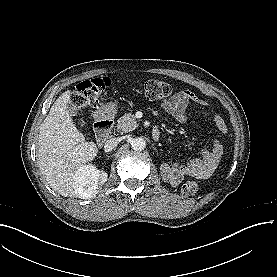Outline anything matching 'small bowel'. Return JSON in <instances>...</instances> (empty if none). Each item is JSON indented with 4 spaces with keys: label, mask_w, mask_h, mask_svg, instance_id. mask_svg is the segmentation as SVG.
Masks as SVG:
<instances>
[{
    "label": "small bowel",
    "mask_w": 277,
    "mask_h": 277,
    "mask_svg": "<svg viewBox=\"0 0 277 277\" xmlns=\"http://www.w3.org/2000/svg\"><path fill=\"white\" fill-rule=\"evenodd\" d=\"M195 104L201 107H208L206 101L199 98L196 94L189 90L179 91L174 94L170 99L164 100L162 106L169 114L179 121H185L187 116V108L189 104ZM205 116H209L213 119L217 129L225 133L227 132V125L223 119L216 116L214 113L205 110L202 112ZM223 154V145L220 143H214L212 153L205 152L206 160L191 159L186 161L182 166L184 175H195L199 177L209 176L216 164L219 162Z\"/></svg>",
    "instance_id": "c3829d8e"
}]
</instances>
